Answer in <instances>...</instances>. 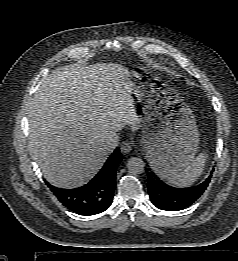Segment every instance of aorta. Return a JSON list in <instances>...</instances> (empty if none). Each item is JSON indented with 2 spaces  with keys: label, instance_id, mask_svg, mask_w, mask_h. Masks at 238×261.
Wrapping results in <instances>:
<instances>
[{
  "label": "aorta",
  "instance_id": "762f6f07",
  "mask_svg": "<svg viewBox=\"0 0 238 261\" xmlns=\"http://www.w3.org/2000/svg\"><path fill=\"white\" fill-rule=\"evenodd\" d=\"M144 162L138 157H131L127 161L128 171L132 174H141L144 172Z\"/></svg>",
  "mask_w": 238,
  "mask_h": 261
}]
</instances>
